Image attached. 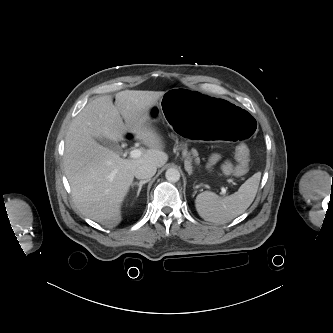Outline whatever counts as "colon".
<instances>
[{"instance_id": "1", "label": "colon", "mask_w": 333, "mask_h": 333, "mask_svg": "<svg viewBox=\"0 0 333 333\" xmlns=\"http://www.w3.org/2000/svg\"><path fill=\"white\" fill-rule=\"evenodd\" d=\"M236 159L237 166L235 168V173L238 176H242L247 172L249 163V150L244 144H241L236 149Z\"/></svg>"}]
</instances>
